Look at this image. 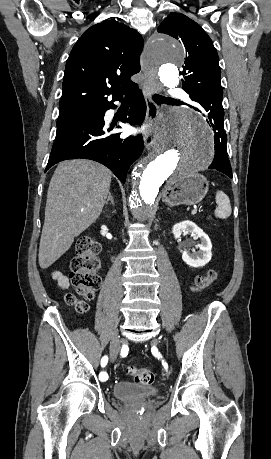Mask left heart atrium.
<instances>
[{
	"label": "left heart atrium",
	"instance_id": "left-heart-atrium-1",
	"mask_svg": "<svg viewBox=\"0 0 271 459\" xmlns=\"http://www.w3.org/2000/svg\"><path fill=\"white\" fill-rule=\"evenodd\" d=\"M147 130H148L147 127L144 126V127H142V128L139 129V132H140V133H146Z\"/></svg>",
	"mask_w": 271,
	"mask_h": 459
}]
</instances>
